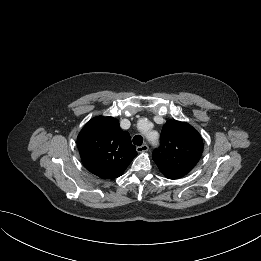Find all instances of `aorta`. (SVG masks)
Returning a JSON list of instances; mask_svg holds the SVG:
<instances>
[{
	"instance_id": "762f6f07",
	"label": "aorta",
	"mask_w": 261,
	"mask_h": 261,
	"mask_svg": "<svg viewBox=\"0 0 261 261\" xmlns=\"http://www.w3.org/2000/svg\"><path fill=\"white\" fill-rule=\"evenodd\" d=\"M150 142L152 143V145H157L158 144V139H151L149 138Z\"/></svg>"
}]
</instances>
